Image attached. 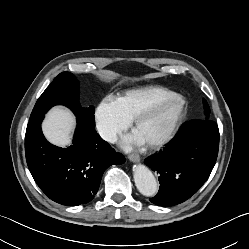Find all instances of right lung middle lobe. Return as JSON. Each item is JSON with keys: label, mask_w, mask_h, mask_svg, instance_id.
<instances>
[{"label": "right lung middle lobe", "mask_w": 249, "mask_h": 249, "mask_svg": "<svg viewBox=\"0 0 249 249\" xmlns=\"http://www.w3.org/2000/svg\"><path fill=\"white\" fill-rule=\"evenodd\" d=\"M65 105L84 124L95 126L94 107L82 108L79 105V85L76 77L69 72H62L54 78L37 100L30 120L44 115L54 105Z\"/></svg>", "instance_id": "obj_1"}]
</instances>
